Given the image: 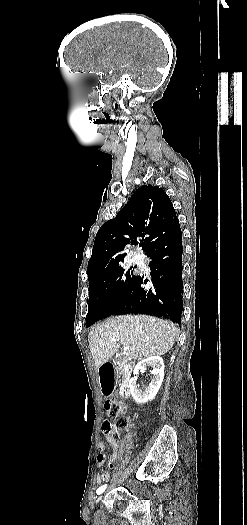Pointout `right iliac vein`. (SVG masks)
<instances>
[{"label":"right iliac vein","mask_w":247,"mask_h":525,"mask_svg":"<svg viewBox=\"0 0 247 525\" xmlns=\"http://www.w3.org/2000/svg\"><path fill=\"white\" fill-rule=\"evenodd\" d=\"M102 495H100L97 499H96V503H98L101 499H102Z\"/></svg>","instance_id":"right-iliac-vein-1"}]
</instances>
